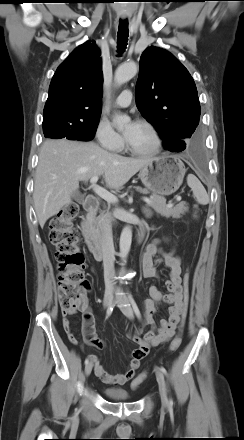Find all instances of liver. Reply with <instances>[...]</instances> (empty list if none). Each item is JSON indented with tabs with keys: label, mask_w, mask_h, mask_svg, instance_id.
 I'll list each match as a JSON object with an SVG mask.
<instances>
[{
	"label": "liver",
	"mask_w": 244,
	"mask_h": 440,
	"mask_svg": "<svg viewBox=\"0 0 244 440\" xmlns=\"http://www.w3.org/2000/svg\"><path fill=\"white\" fill-rule=\"evenodd\" d=\"M154 158H127L110 153L94 142L47 140L39 153L33 200L38 222L46 221L72 202L79 181L104 175L106 186L121 189Z\"/></svg>",
	"instance_id": "liver-1"
}]
</instances>
